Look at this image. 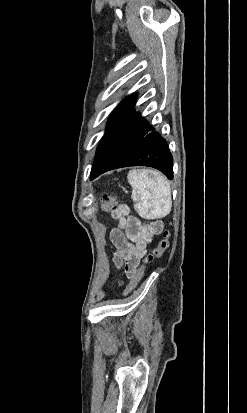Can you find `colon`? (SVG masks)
Returning a JSON list of instances; mask_svg holds the SVG:
<instances>
[{
  "label": "colon",
  "mask_w": 247,
  "mask_h": 413,
  "mask_svg": "<svg viewBox=\"0 0 247 413\" xmlns=\"http://www.w3.org/2000/svg\"><path fill=\"white\" fill-rule=\"evenodd\" d=\"M117 207V199L108 195H102V210L104 212L115 210ZM119 215V213H118ZM112 240V239H111ZM170 246V232L165 231L162 235V239L157 246L151 249V251L145 256L144 260L146 263H150L156 257L161 256L165 251L169 249ZM147 266L146 264L144 265ZM144 266H139L138 272H136L135 277H130V282L125 288L123 295H129L136 287L137 283L141 277V271H144Z\"/></svg>",
  "instance_id": "colon-1"
}]
</instances>
